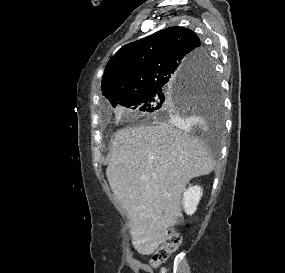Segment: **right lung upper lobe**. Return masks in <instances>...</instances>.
<instances>
[{"label":"right lung upper lobe","mask_w":285,"mask_h":273,"mask_svg":"<svg viewBox=\"0 0 285 273\" xmlns=\"http://www.w3.org/2000/svg\"><path fill=\"white\" fill-rule=\"evenodd\" d=\"M205 48L184 27H169L123 46L108 62L102 93L112 105L158 85H170L201 72Z\"/></svg>","instance_id":"right-lung-upper-lobe-1"}]
</instances>
